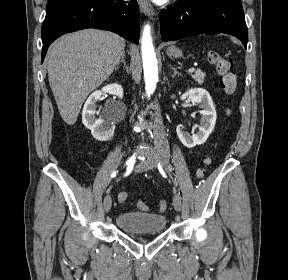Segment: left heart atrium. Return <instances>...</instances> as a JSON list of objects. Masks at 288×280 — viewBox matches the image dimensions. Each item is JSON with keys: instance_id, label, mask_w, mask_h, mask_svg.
Here are the masks:
<instances>
[{"instance_id": "1", "label": "left heart atrium", "mask_w": 288, "mask_h": 280, "mask_svg": "<svg viewBox=\"0 0 288 280\" xmlns=\"http://www.w3.org/2000/svg\"><path fill=\"white\" fill-rule=\"evenodd\" d=\"M155 1H157V2H159V3H163V2H165L166 0H155Z\"/></svg>"}]
</instances>
